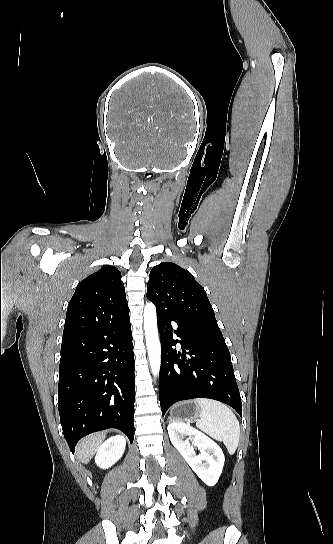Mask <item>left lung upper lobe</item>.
<instances>
[{"label":"left lung upper lobe","instance_id":"obj_1","mask_svg":"<svg viewBox=\"0 0 333 544\" xmlns=\"http://www.w3.org/2000/svg\"><path fill=\"white\" fill-rule=\"evenodd\" d=\"M147 298L156 308L183 321L220 331L204 288L191 273L174 263L164 262L152 268Z\"/></svg>","mask_w":333,"mask_h":544}]
</instances>
